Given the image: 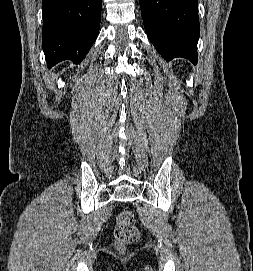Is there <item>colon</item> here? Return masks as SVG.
I'll list each match as a JSON object with an SVG mask.
<instances>
[{"label": "colon", "mask_w": 253, "mask_h": 271, "mask_svg": "<svg viewBox=\"0 0 253 271\" xmlns=\"http://www.w3.org/2000/svg\"><path fill=\"white\" fill-rule=\"evenodd\" d=\"M140 237L139 229L134 224V214L130 210L122 211L116 220L114 240L118 247L122 248L135 243Z\"/></svg>", "instance_id": "1"}]
</instances>
